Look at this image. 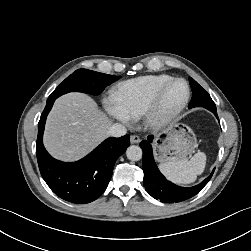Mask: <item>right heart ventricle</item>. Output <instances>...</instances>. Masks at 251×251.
<instances>
[{
  "mask_svg": "<svg viewBox=\"0 0 251 251\" xmlns=\"http://www.w3.org/2000/svg\"><path fill=\"white\" fill-rule=\"evenodd\" d=\"M173 77L166 74L147 75L120 83L114 91L119 108L131 119L143 115L156 91Z\"/></svg>",
  "mask_w": 251,
  "mask_h": 251,
  "instance_id": "obj_1",
  "label": "right heart ventricle"
}]
</instances>
